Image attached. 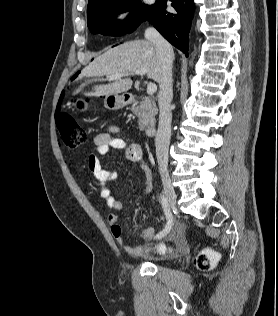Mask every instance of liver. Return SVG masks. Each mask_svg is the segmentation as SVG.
I'll list each match as a JSON object with an SVG mask.
<instances>
[{"label": "liver", "instance_id": "6515ba94", "mask_svg": "<svg viewBox=\"0 0 278 316\" xmlns=\"http://www.w3.org/2000/svg\"><path fill=\"white\" fill-rule=\"evenodd\" d=\"M140 68L147 70L148 78L157 83L161 82L162 62L155 45L149 40L129 41L109 49L85 67L76 81L104 76L109 81H113L107 85L95 86L92 91L84 92L85 96L100 97L124 93L130 90L133 84L129 76ZM116 74H123V76L117 79L110 78Z\"/></svg>", "mask_w": 278, "mask_h": 316}]
</instances>
